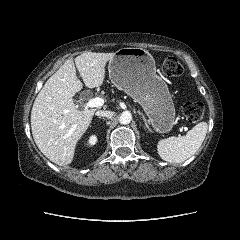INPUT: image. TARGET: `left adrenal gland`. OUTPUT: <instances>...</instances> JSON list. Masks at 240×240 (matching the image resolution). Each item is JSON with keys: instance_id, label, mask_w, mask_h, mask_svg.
Wrapping results in <instances>:
<instances>
[{"instance_id": "left-adrenal-gland-1", "label": "left adrenal gland", "mask_w": 240, "mask_h": 240, "mask_svg": "<svg viewBox=\"0 0 240 240\" xmlns=\"http://www.w3.org/2000/svg\"><path fill=\"white\" fill-rule=\"evenodd\" d=\"M138 114L142 116V119H143V122H144L145 127H146L148 130L151 131V129H150V127H149V125H148V123H147V121H146L145 116L143 115V113H141L140 111H138Z\"/></svg>"}]
</instances>
